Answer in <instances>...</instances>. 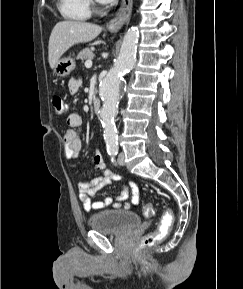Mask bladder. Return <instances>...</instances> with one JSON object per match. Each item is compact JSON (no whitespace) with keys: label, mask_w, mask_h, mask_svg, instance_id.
<instances>
[{"label":"bladder","mask_w":243,"mask_h":289,"mask_svg":"<svg viewBox=\"0 0 243 289\" xmlns=\"http://www.w3.org/2000/svg\"><path fill=\"white\" fill-rule=\"evenodd\" d=\"M140 223L141 219L136 213L116 209L100 211L89 218L92 229L114 234L129 231Z\"/></svg>","instance_id":"1"}]
</instances>
